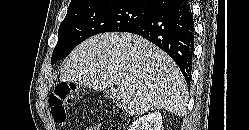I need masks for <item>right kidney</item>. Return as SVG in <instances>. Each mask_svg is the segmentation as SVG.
<instances>
[{
  "mask_svg": "<svg viewBox=\"0 0 249 130\" xmlns=\"http://www.w3.org/2000/svg\"><path fill=\"white\" fill-rule=\"evenodd\" d=\"M161 127V113L152 112L135 120L129 130H161Z\"/></svg>",
  "mask_w": 249,
  "mask_h": 130,
  "instance_id": "ca27d5eb",
  "label": "right kidney"
}]
</instances>
